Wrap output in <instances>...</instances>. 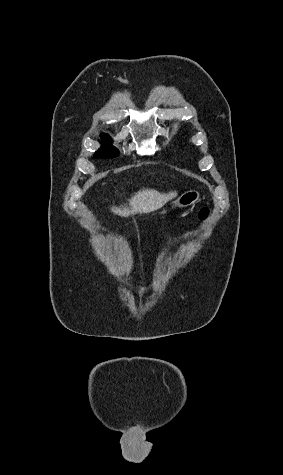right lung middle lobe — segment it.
<instances>
[{"label": "right lung middle lobe", "instance_id": "1", "mask_svg": "<svg viewBox=\"0 0 283 475\" xmlns=\"http://www.w3.org/2000/svg\"><path fill=\"white\" fill-rule=\"evenodd\" d=\"M102 140H100V143L103 145L102 148L97 151L93 158H112L116 157L118 155V150L113 147L109 142H111L110 137L107 134H102L101 135Z\"/></svg>", "mask_w": 283, "mask_h": 475}]
</instances>
